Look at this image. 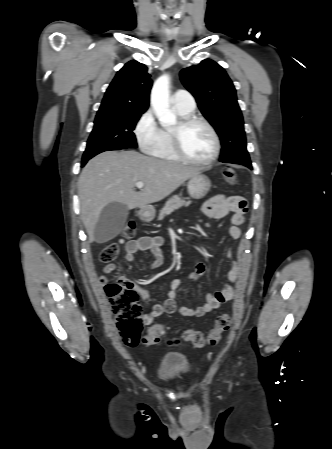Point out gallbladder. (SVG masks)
I'll return each instance as SVG.
<instances>
[{"label": "gallbladder", "mask_w": 332, "mask_h": 449, "mask_svg": "<svg viewBox=\"0 0 332 449\" xmlns=\"http://www.w3.org/2000/svg\"><path fill=\"white\" fill-rule=\"evenodd\" d=\"M128 216V208L123 203L112 202L100 213L94 229V240L105 243L115 238L123 229Z\"/></svg>", "instance_id": "bac80fb5"}]
</instances>
